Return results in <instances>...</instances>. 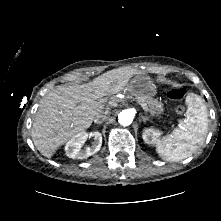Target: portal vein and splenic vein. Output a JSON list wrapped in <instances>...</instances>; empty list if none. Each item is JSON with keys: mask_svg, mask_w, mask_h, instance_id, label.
<instances>
[{"mask_svg": "<svg viewBox=\"0 0 221 221\" xmlns=\"http://www.w3.org/2000/svg\"><path fill=\"white\" fill-rule=\"evenodd\" d=\"M137 103H138L139 105H141V107L143 108V110H144L145 112H148V111H149L148 106H147L145 103L140 102V101H137Z\"/></svg>", "mask_w": 221, "mask_h": 221, "instance_id": "1", "label": "portal vein and splenic vein"}]
</instances>
